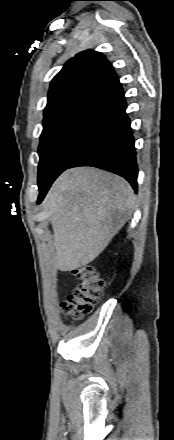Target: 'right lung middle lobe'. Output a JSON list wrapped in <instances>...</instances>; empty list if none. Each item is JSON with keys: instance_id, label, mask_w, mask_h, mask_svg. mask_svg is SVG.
Wrapping results in <instances>:
<instances>
[{"instance_id": "dd1d6c3e", "label": "right lung middle lobe", "mask_w": 174, "mask_h": 440, "mask_svg": "<svg viewBox=\"0 0 174 440\" xmlns=\"http://www.w3.org/2000/svg\"><path fill=\"white\" fill-rule=\"evenodd\" d=\"M97 106L98 96H89L44 117L38 186L52 184L74 160L90 131Z\"/></svg>"}]
</instances>
